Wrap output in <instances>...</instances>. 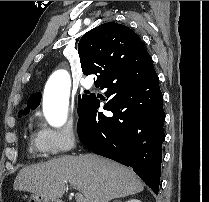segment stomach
I'll use <instances>...</instances> for the list:
<instances>
[{
  "label": "stomach",
  "instance_id": "stomach-1",
  "mask_svg": "<svg viewBox=\"0 0 209 202\" xmlns=\"http://www.w3.org/2000/svg\"><path fill=\"white\" fill-rule=\"evenodd\" d=\"M28 202H61L59 199H54V198H50V197H46L44 195L41 194H32L29 197V201Z\"/></svg>",
  "mask_w": 209,
  "mask_h": 202
}]
</instances>
